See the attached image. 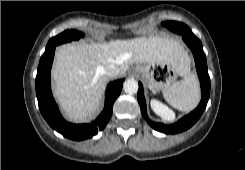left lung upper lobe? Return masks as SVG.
Here are the masks:
<instances>
[{"instance_id": "1", "label": "left lung upper lobe", "mask_w": 245, "mask_h": 170, "mask_svg": "<svg viewBox=\"0 0 245 170\" xmlns=\"http://www.w3.org/2000/svg\"><path fill=\"white\" fill-rule=\"evenodd\" d=\"M162 25L178 34L181 33L180 28H183L184 26H186L185 24L176 22V21H167V22L162 23Z\"/></svg>"}]
</instances>
